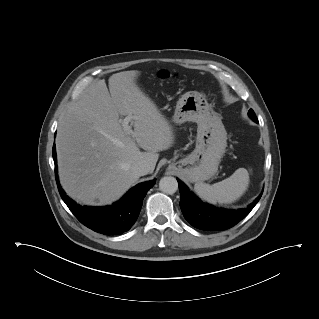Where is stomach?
Returning <instances> with one entry per match:
<instances>
[{
    "label": "stomach",
    "mask_w": 319,
    "mask_h": 319,
    "mask_svg": "<svg viewBox=\"0 0 319 319\" xmlns=\"http://www.w3.org/2000/svg\"><path fill=\"white\" fill-rule=\"evenodd\" d=\"M173 122L197 123V137L194 151L169 166L189 182H203L212 178L218 170L227 146V133L221 117L197 91H189L177 101Z\"/></svg>",
    "instance_id": "obj_1"
}]
</instances>
